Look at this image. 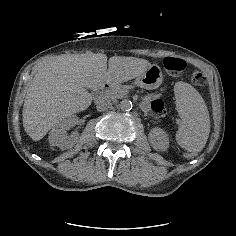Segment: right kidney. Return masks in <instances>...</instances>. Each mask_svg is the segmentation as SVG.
Returning a JSON list of instances; mask_svg holds the SVG:
<instances>
[{"instance_id":"ca27d5eb","label":"right kidney","mask_w":236,"mask_h":236,"mask_svg":"<svg viewBox=\"0 0 236 236\" xmlns=\"http://www.w3.org/2000/svg\"><path fill=\"white\" fill-rule=\"evenodd\" d=\"M77 122H78L77 118L71 117L69 119H66L61 127L53 129L49 133V138H48L50 145L57 146L61 150L70 149L76 145H80L78 132H73L70 136L65 135L66 128L75 125Z\"/></svg>"}]
</instances>
